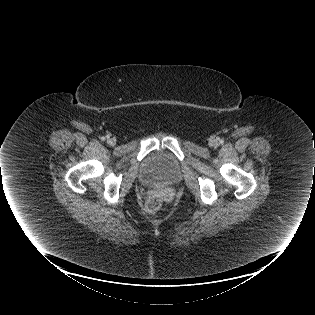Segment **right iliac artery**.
<instances>
[{
    "instance_id": "right-iliac-artery-1",
    "label": "right iliac artery",
    "mask_w": 315,
    "mask_h": 315,
    "mask_svg": "<svg viewBox=\"0 0 315 315\" xmlns=\"http://www.w3.org/2000/svg\"><path fill=\"white\" fill-rule=\"evenodd\" d=\"M101 139L104 141V140H105V137H102Z\"/></svg>"
}]
</instances>
